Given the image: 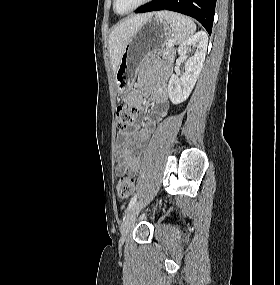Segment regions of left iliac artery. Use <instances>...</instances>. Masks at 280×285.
<instances>
[{"label": "left iliac artery", "mask_w": 280, "mask_h": 285, "mask_svg": "<svg viewBox=\"0 0 280 285\" xmlns=\"http://www.w3.org/2000/svg\"><path fill=\"white\" fill-rule=\"evenodd\" d=\"M137 197H138L137 194L133 196V198L131 199V201H130V203L128 205L127 210H129L136 203Z\"/></svg>", "instance_id": "obj_1"}]
</instances>
